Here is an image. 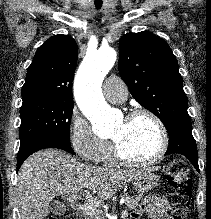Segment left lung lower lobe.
<instances>
[{
  "label": "left lung lower lobe",
  "instance_id": "obj_1",
  "mask_svg": "<svg viewBox=\"0 0 211 219\" xmlns=\"http://www.w3.org/2000/svg\"><path fill=\"white\" fill-rule=\"evenodd\" d=\"M169 146L165 153L168 154H182L193 164L197 171L198 153L196 141L192 136L191 123H180L174 126L169 132Z\"/></svg>",
  "mask_w": 211,
  "mask_h": 219
}]
</instances>
